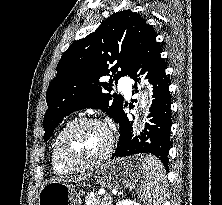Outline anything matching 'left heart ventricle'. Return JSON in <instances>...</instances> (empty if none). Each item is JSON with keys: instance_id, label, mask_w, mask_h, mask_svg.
Masks as SVG:
<instances>
[{"instance_id": "left-heart-ventricle-1", "label": "left heart ventricle", "mask_w": 222, "mask_h": 205, "mask_svg": "<svg viewBox=\"0 0 222 205\" xmlns=\"http://www.w3.org/2000/svg\"><path fill=\"white\" fill-rule=\"evenodd\" d=\"M106 143L107 135L103 128L94 124H82L66 136L63 150L70 160L83 161L100 154Z\"/></svg>"}]
</instances>
